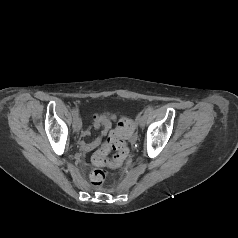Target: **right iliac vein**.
<instances>
[{"label":"right iliac vein","instance_id":"right-iliac-vein-1","mask_svg":"<svg viewBox=\"0 0 238 238\" xmlns=\"http://www.w3.org/2000/svg\"><path fill=\"white\" fill-rule=\"evenodd\" d=\"M81 127H82L81 119L79 117H74L73 118V129H74V131L79 132Z\"/></svg>","mask_w":238,"mask_h":238}]
</instances>
